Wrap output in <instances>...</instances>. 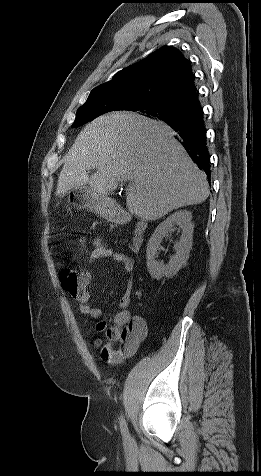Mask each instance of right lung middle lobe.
Masks as SVG:
<instances>
[{
	"instance_id": "obj_1",
	"label": "right lung middle lobe",
	"mask_w": 261,
	"mask_h": 476,
	"mask_svg": "<svg viewBox=\"0 0 261 476\" xmlns=\"http://www.w3.org/2000/svg\"><path fill=\"white\" fill-rule=\"evenodd\" d=\"M119 110H121L120 106L116 101L112 100V98L85 103L78 109L72 127H79L102 114ZM183 111L184 110L182 109L165 104H151L145 105L135 112L166 122L172 119H177Z\"/></svg>"
}]
</instances>
